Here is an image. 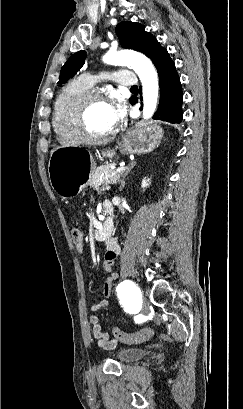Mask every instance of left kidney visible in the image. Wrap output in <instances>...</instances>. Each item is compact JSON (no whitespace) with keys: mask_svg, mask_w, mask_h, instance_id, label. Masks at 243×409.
<instances>
[{"mask_svg":"<svg viewBox=\"0 0 243 409\" xmlns=\"http://www.w3.org/2000/svg\"><path fill=\"white\" fill-rule=\"evenodd\" d=\"M149 184H150V179H147V180L144 179V180L142 181V188L148 187Z\"/></svg>","mask_w":243,"mask_h":409,"instance_id":"left-kidney-1","label":"left kidney"}]
</instances>
